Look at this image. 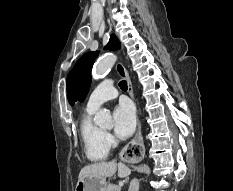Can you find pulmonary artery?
Masks as SVG:
<instances>
[{
    "instance_id": "e3ab8cb5",
    "label": "pulmonary artery",
    "mask_w": 233,
    "mask_h": 191,
    "mask_svg": "<svg viewBox=\"0 0 233 191\" xmlns=\"http://www.w3.org/2000/svg\"><path fill=\"white\" fill-rule=\"evenodd\" d=\"M118 92L113 84L112 80H105L101 82L91 93L87 101V110L95 111L104 102L116 98Z\"/></svg>"
}]
</instances>
